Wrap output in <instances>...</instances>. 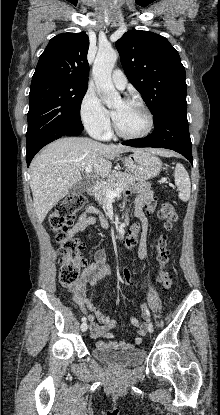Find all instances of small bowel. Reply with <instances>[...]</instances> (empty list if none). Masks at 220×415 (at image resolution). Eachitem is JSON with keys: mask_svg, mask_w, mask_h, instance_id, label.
<instances>
[{"mask_svg": "<svg viewBox=\"0 0 220 415\" xmlns=\"http://www.w3.org/2000/svg\"><path fill=\"white\" fill-rule=\"evenodd\" d=\"M133 190L137 192L133 202V213L139 219V223L134 224L129 229L125 244L128 248L138 245L139 257L146 259L148 256V244L145 208L152 209L154 207L153 193L145 182L140 183ZM130 192L128 191L127 194H130ZM97 216H99L98 209L94 206H88L85 212L79 215L76 223L69 229V233L75 236L83 232L89 226L96 224ZM99 220L102 226L108 225L106 219L99 217ZM108 273L109 268L105 265V253L102 249H97L93 254V261L87 263L83 268L81 278L68 290L73 301L87 315L90 322L91 336L94 338L112 339L114 337L112 329L116 325V320L97 309L93 301L95 286ZM130 323L138 328V336L133 343L110 340L109 342L98 341L96 345L115 350H130L139 346L143 341L142 337L147 334V326L137 318H131Z\"/></svg>", "mask_w": 220, "mask_h": 415, "instance_id": "small-bowel-1", "label": "small bowel"}]
</instances>
